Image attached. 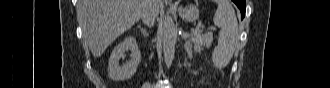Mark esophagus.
<instances>
[{
    "label": "esophagus",
    "mask_w": 330,
    "mask_h": 88,
    "mask_svg": "<svg viewBox=\"0 0 330 88\" xmlns=\"http://www.w3.org/2000/svg\"><path fill=\"white\" fill-rule=\"evenodd\" d=\"M164 2H165L166 4L172 5V1H171V0H164Z\"/></svg>",
    "instance_id": "esophagus-1"
}]
</instances>
